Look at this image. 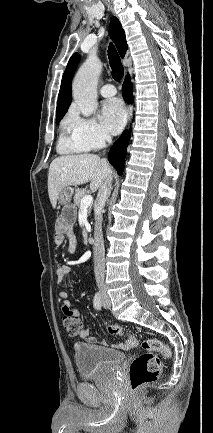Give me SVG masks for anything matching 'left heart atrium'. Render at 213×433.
Wrapping results in <instances>:
<instances>
[{
    "mask_svg": "<svg viewBox=\"0 0 213 433\" xmlns=\"http://www.w3.org/2000/svg\"><path fill=\"white\" fill-rule=\"evenodd\" d=\"M101 120L103 126L112 134H118L126 122V110L118 99L107 101L102 109Z\"/></svg>",
    "mask_w": 213,
    "mask_h": 433,
    "instance_id": "obj_1",
    "label": "left heart atrium"
}]
</instances>
